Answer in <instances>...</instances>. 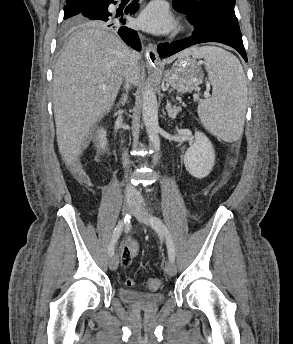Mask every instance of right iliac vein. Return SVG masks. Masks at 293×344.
I'll use <instances>...</instances> for the list:
<instances>
[{"instance_id": "1", "label": "right iliac vein", "mask_w": 293, "mask_h": 344, "mask_svg": "<svg viewBox=\"0 0 293 344\" xmlns=\"http://www.w3.org/2000/svg\"><path fill=\"white\" fill-rule=\"evenodd\" d=\"M137 206V203L135 201L132 200H127L124 203L123 206V211L125 214L131 213ZM118 264H119V259L117 255H114L110 258L109 260V267L112 271L116 270L118 268Z\"/></svg>"}]
</instances>
